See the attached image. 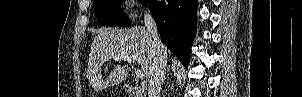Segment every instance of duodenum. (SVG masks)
I'll return each mask as SVG.
<instances>
[{"label":"duodenum","instance_id":"410a0bca","mask_svg":"<svg viewBox=\"0 0 302 97\" xmlns=\"http://www.w3.org/2000/svg\"><path fill=\"white\" fill-rule=\"evenodd\" d=\"M125 89L131 97H143V91L139 86L126 84Z\"/></svg>","mask_w":302,"mask_h":97}]
</instances>
